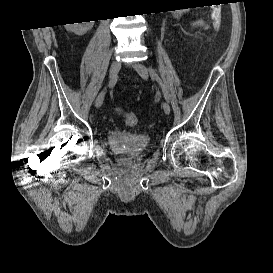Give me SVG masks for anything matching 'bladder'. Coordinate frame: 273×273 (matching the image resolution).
<instances>
[{
  "label": "bladder",
  "instance_id": "bladder-1",
  "mask_svg": "<svg viewBox=\"0 0 273 273\" xmlns=\"http://www.w3.org/2000/svg\"><path fill=\"white\" fill-rule=\"evenodd\" d=\"M106 139L109 151L124 161L138 159L150 146L149 136L119 129H110Z\"/></svg>",
  "mask_w": 273,
  "mask_h": 273
}]
</instances>
